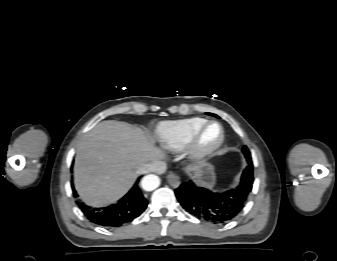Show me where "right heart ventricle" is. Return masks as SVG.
<instances>
[{
  "label": "right heart ventricle",
  "mask_w": 337,
  "mask_h": 261,
  "mask_svg": "<svg viewBox=\"0 0 337 261\" xmlns=\"http://www.w3.org/2000/svg\"><path fill=\"white\" fill-rule=\"evenodd\" d=\"M205 122L206 120L200 117L162 122L157 127L156 136L167 150L181 151L187 147L195 131Z\"/></svg>",
  "instance_id": "e07e8e85"
}]
</instances>
